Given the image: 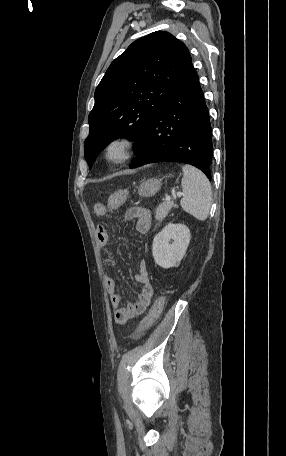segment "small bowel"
Returning a JSON list of instances; mask_svg holds the SVG:
<instances>
[{"label": "small bowel", "mask_w": 286, "mask_h": 456, "mask_svg": "<svg viewBox=\"0 0 286 456\" xmlns=\"http://www.w3.org/2000/svg\"><path fill=\"white\" fill-rule=\"evenodd\" d=\"M109 208L114 209L115 206L109 205ZM125 219L133 222L139 233L147 232L152 223L150 210L140 206L129 208L125 213ZM96 234L99 248L101 250H106L109 244L107 228L103 225H99ZM134 280L141 287L138 298L135 302L122 304V298L116 291V281L109 276H105L104 278L111 306L115 309L114 320L117 324H124L133 317L142 314L150 305L153 288L150 283L147 260L143 259L140 261Z\"/></svg>", "instance_id": "small-bowel-1"}]
</instances>
